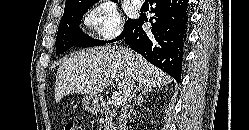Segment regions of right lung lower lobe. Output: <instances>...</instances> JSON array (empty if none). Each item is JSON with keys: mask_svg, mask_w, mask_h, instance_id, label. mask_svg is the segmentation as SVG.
<instances>
[{"mask_svg": "<svg viewBox=\"0 0 249 130\" xmlns=\"http://www.w3.org/2000/svg\"><path fill=\"white\" fill-rule=\"evenodd\" d=\"M153 3L154 17L147 19L141 15L123 38L133 50L179 82L189 21L188 1L153 0ZM145 22L151 23L152 30L142 29Z\"/></svg>", "mask_w": 249, "mask_h": 130, "instance_id": "98d812e1", "label": "right lung lower lobe"}]
</instances>
